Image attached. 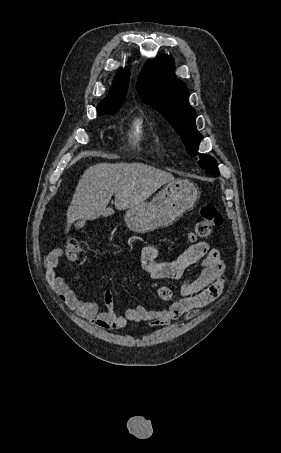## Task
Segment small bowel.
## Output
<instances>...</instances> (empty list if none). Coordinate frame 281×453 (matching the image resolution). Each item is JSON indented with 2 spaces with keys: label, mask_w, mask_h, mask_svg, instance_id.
<instances>
[{
  "label": "small bowel",
  "mask_w": 281,
  "mask_h": 453,
  "mask_svg": "<svg viewBox=\"0 0 281 453\" xmlns=\"http://www.w3.org/2000/svg\"><path fill=\"white\" fill-rule=\"evenodd\" d=\"M62 256L63 252L58 248L45 257V272L51 285L70 308L99 328L106 330L122 328L129 322L145 321L152 326H158L181 316L195 318L200 309L220 296L226 282L219 252L208 248L204 241L192 245L176 259L165 262L158 260L157 246L148 244L143 248L141 265L153 278L180 279L194 262L200 260L198 274L185 280L179 288L183 298L175 300L173 290L169 286L162 285L157 288L156 293L161 300L170 303L168 307L148 310L137 306L125 311H116L113 309L114 294L107 289L103 292V299L108 307L101 310L95 302L81 299L63 279L58 271Z\"/></svg>",
  "instance_id": "small-bowel-1"
}]
</instances>
